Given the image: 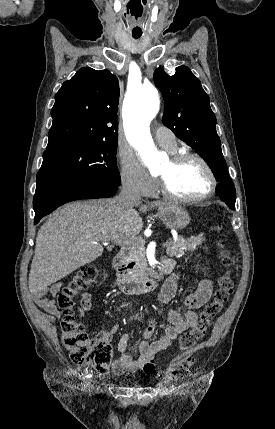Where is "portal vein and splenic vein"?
I'll return each instance as SVG.
<instances>
[{
    "mask_svg": "<svg viewBox=\"0 0 275 429\" xmlns=\"http://www.w3.org/2000/svg\"><path fill=\"white\" fill-rule=\"evenodd\" d=\"M111 240L116 241L119 244H124V245H134L136 244L138 241H143L141 239H137L135 237H128L122 234H117V235H113L111 237ZM163 247H168L170 246L169 241L165 242L162 244Z\"/></svg>",
    "mask_w": 275,
    "mask_h": 429,
    "instance_id": "portal-vein-and-splenic-vein-1",
    "label": "portal vein and splenic vein"
}]
</instances>
